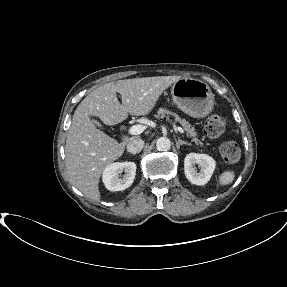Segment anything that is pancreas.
I'll return each mask as SVG.
<instances>
[{"label": "pancreas", "instance_id": "obj_1", "mask_svg": "<svg viewBox=\"0 0 287 287\" xmlns=\"http://www.w3.org/2000/svg\"><path fill=\"white\" fill-rule=\"evenodd\" d=\"M158 115L156 117H169L172 116L175 118L176 122H179L181 126L183 127L184 131L186 132V135L192 138V141H194L196 144L203 145V143L196 137L197 133L195 132L194 127H192L188 121L185 119H181L176 113L171 112L170 110L160 108L158 110Z\"/></svg>", "mask_w": 287, "mask_h": 287}]
</instances>
